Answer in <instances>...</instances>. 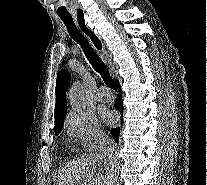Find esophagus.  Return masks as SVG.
Instances as JSON below:
<instances>
[{"label":"esophagus","mask_w":207,"mask_h":185,"mask_svg":"<svg viewBox=\"0 0 207 185\" xmlns=\"http://www.w3.org/2000/svg\"><path fill=\"white\" fill-rule=\"evenodd\" d=\"M75 14H86V9H75ZM75 20H78L77 25L80 29V24H89V19H86V15H75ZM83 30H90V25H83ZM91 30H93V28H91ZM86 38L91 39V43L95 48L100 47V44L96 46V43H99V41L101 42L100 33H86ZM102 51L103 55H105L106 50L104 47Z\"/></svg>","instance_id":"1"}]
</instances>
